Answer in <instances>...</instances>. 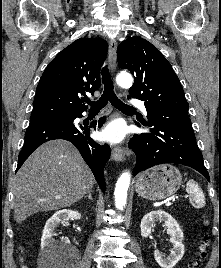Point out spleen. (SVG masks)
<instances>
[{
  "label": "spleen",
  "instance_id": "3e777b00",
  "mask_svg": "<svg viewBox=\"0 0 221 268\" xmlns=\"http://www.w3.org/2000/svg\"><path fill=\"white\" fill-rule=\"evenodd\" d=\"M186 191L191 196V203L196 208H202L205 206V196L200 186L192 179L186 184Z\"/></svg>",
  "mask_w": 221,
  "mask_h": 268
}]
</instances>
